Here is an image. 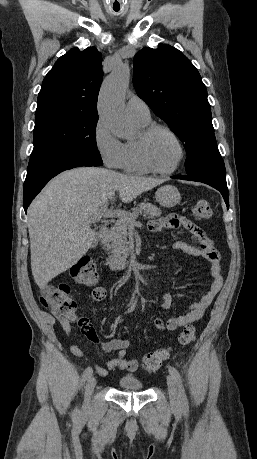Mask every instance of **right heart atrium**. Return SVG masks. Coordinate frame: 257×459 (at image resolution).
<instances>
[{
	"instance_id": "right-heart-atrium-1",
	"label": "right heart atrium",
	"mask_w": 257,
	"mask_h": 459,
	"mask_svg": "<svg viewBox=\"0 0 257 459\" xmlns=\"http://www.w3.org/2000/svg\"><path fill=\"white\" fill-rule=\"evenodd\" d=\"M93 138L103 163L109 168H120L124 158V143L112 134L102 119L95 124Z\"/></svg>"
}]
</instances>
